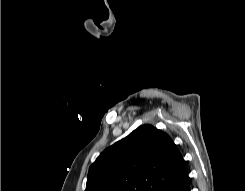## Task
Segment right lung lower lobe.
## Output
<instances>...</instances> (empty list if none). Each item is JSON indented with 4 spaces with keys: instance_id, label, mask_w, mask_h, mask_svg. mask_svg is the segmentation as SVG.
Segmentation results:
<instances>
[{
    "instance_id": "98d812e1",
    "label": "right lung lower lobe",
    "mask_w": 245,
    "mask_h": 191,
    "mask_svg": "<svg viewBox=\"0 0 245 191\" xmlns=\"http://www.w3.org/2000/svg\"><path fill=\"white\" fill-rule=\"evenodd\" d=\"M162 191H190L188 174L164 188Z\"/></svg>"
}]
</instances>
